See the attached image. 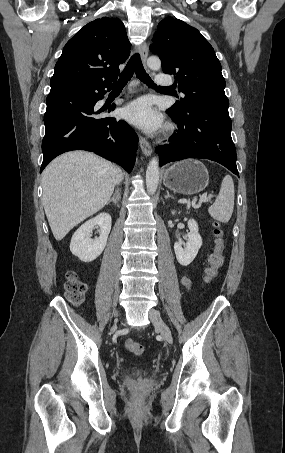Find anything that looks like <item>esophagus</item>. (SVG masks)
<instances>
[{
  "mask_svg": "<svg viewBox=\"0 0 285 453\" xmlns=\"http://www.w3.org/2000/svg\"><path fill=\"white\" fill-rule=\"evenodd\" d=\"M140 55L143 63L146 64L148 57V46L146 42L142 43L140 47ZM139 144L144 155L150 156L152 154V147L150 143L141 135L139 136Z\"/></svg>",
  "mask_w": 285,
  "mask_h": 453,
  "instance_id": "1",
  "label": "esophagus"
}]
</instances>
